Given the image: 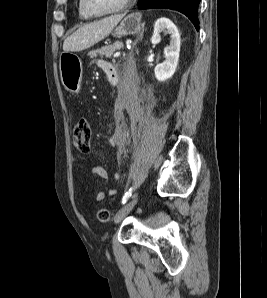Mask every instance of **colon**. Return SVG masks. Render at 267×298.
Returning <instances> with one entry per match:
<instances>
[{
    "mask_svg": "<svg viewBox=\"0 0 267 298\" xmlns=\"http://www.w3.org/2000/svg\"><path fill=\"white\" fill-rule=\"evenodd\" d=\"M92 137V129L87 119L80 120L73 131V143L81 153H88L90 150V142ZM97 219L100 222H108L111 220V212L107 209H100L97 213Z\"/></svg>",
    "mask_w": 267,
    "mask_h": 298,
    "instance_id": "1",
    "label": "colon"
}]
</instances>
